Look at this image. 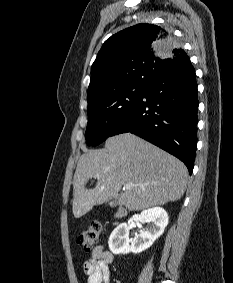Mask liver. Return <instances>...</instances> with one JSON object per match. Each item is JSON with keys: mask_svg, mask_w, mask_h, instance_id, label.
Listing matches in <instances>:
<instances>
[{"mask_svg": "<svg viewBox=\"0 0 233 283\" xmlns=\"http://www.w3.org/2000/svg\"><path fill=\"white\" fill-rule=\"evenodd\" d=\"M97 178L95 188L86 189ZM188 170L179 159L131 134L110 137L103 150L86 151L79 159L73 179L72 211L75 218L93 206L118 196V205L130 211L144 210L179 200L187 186Z\"/></svg>", "mask_w": 233, "mask_h": 283, "instance_id": "obj_1", "label": "liver"}]
</instances>
